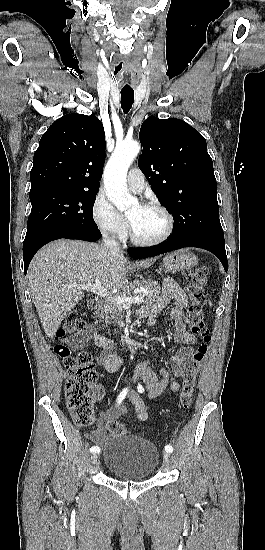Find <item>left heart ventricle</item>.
I'll use <instances>...</instances> for the list:
<instances>
[{
	"mask_svg": "<svg viewBox=\"0 0 265 550\" xmlns=\"http://www.w3.org/2000/svg\"><path fill=\"white\" fill-rule=\"evenodd\" d=\"M134 233L140 239L151 240L160 237L166 230L165 216L155 209H146L137 204L127 214Z\"/></svg>",
	"mask_w": 265,
	"mask_h": 550,
	"instance_id": "obj_1",
	"label": "left heart ventricle"
}]
</instances>
